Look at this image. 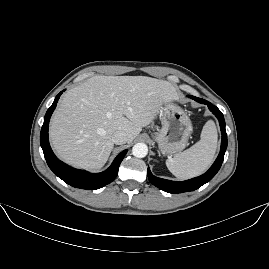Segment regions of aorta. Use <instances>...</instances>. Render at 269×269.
<instances>
[{
  "label": "aorta",
  "mask_w": 269,
  "mask_h": 269,
  "mask_svg": "<svg viewBox=\"0 0 269 269\" xmlns=\"http://www.w3.org/2000/svg\"><path fill=\"white\" fill-rule=\"evenodd\" d=\"M132 153L137 158H143L148 153V147L144 143H137L133 146Z\"/></svg>",
  "instance_id": "aorta-1"
}]
</instances>
